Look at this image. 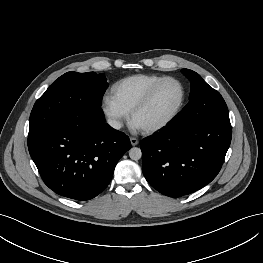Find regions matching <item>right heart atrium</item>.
<instances>
[{"label":"right heart atrium","mask_w":263,"mask_h":263,"mask_svg":"<svg viewBox=\"0 0 263 263\" xmlns=\"http://www.w3.org/2000/svg\"><path fill=\"white\" fill-rule=\"evenodd\" d=\"M102 111L108 123L114 129H119L128 116V113L114 101L111 95L104 96L102 100Z\"/></svg>","instance_id":"d8ad5b80"}]
</instances>
